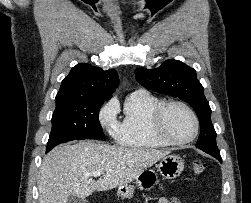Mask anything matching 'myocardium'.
I'll use <instances>...</instances> for the list:
<instances>
[{
	"label": "myocardium",
	"instance_id": "f54148a6",
	"mask_svg": "<svg viewBox=\"0 0 251 203\" xmlns=\"http://www.w3.org/2000/svg\"><path fill=\"white\" fill-rule=\"evenodd\" d=\"M172 106H180L184 108L192 117L194 122V130L191 136L186 139L178 140L170 137L164 130V119L166 112ZM150 128L152 134L167 145H185L191 143L198 136L200 130V122L196 112L187 103L180 100H170L160 104L151 115Z\"/></svg>",
	"mask_w": 251,
	"mask_h": 203
}]
</instances>
